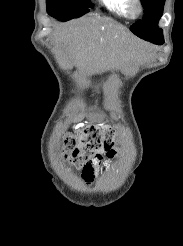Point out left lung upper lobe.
Masks as SVG:
<instances>
[{
    "label": "left lung upper lobe",
    "instance_id": "obj_1",
    "mask_svg": "<svg viewBox=\"0 0 183 246\" xmlns=\"http://www.w3.org/2000/svg\"><path fill=\"white\" fill-rule=\"evenodd\" d=\"M164 2L165 0H141L144 7V17L134 23L130 30L147 41L163 38L162 29L158 27V22L163 14Z\"/></svg>",
    "mask_w": 183,
    "mask_h": 246
}]
</instances>
